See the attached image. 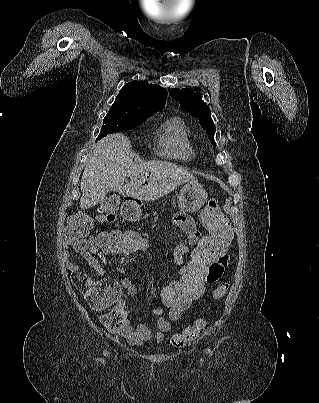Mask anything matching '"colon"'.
Masks as SVG:
<instances>
[{
    "label": "colon",
    "mask_w": 319,
    "mask_h": 403,
    "mask_svg": "<svg viewBox=\"0 0 319 403\" xmlns=\"http://www.w3.org/2000/svg\"><path fill=\"white\" fill-rule=\"evenodd\" d=\"M107 199L109 201L103 202L98 218L110 223L117 216L122 199L114 192H109ZM199 218L209 231H205L204 238H199V242H195L192 258L187 259V267H184V275H180L177 282H160L162 294L158 313H187V309H194V300H200V296H207L205 279L211 272L210 264L219 257L220 253H226L231 243H234L232 218L224 217L216 199L210 200L200 212ZM90 226L91 221L87 215L71 216L66 227L68 239L63 241L64 248H75L84 255L89 252L103 254V258H122V254H127V257L131 258L132 254H152L155 251L150 242V234H139V226H114L113 229H99L97 234L87 237ZM90 279L82 272H74L72 275L74 285L85 296ZM227 289V283L218 284L213 290V298L222 299ZM208 319L209 314L202 312L191 326L172 334L168 343L179 347L201 337Z\"/></svg>",
    "instance_id": "1"
}]
</instances>
